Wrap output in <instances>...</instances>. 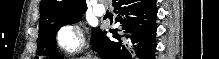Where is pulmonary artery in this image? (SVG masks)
<instances>
[{"label": "pulmonary artery", "mask_w": 219, "mask_h": 59, "mask_svg": "<svg viewBox=\"0 0 219 59\" xmlns=\"http://www.w3.org/2000/svg\"><path fill=\"white\" fill-rule=\"evenodd\" d=\"M92 9L97 16H103L106 12V8L101 4H95Z\"/></svg>", "instance_id": "pulmonary-artery-1"}]
</instances>
